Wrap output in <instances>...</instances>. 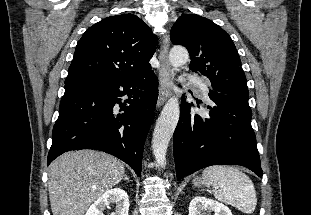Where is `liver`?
<instances>
[{"mask_svg": "<svg viewBox=\"0 0 311 215\" xmlns=\"http://www.w3.org/2000/svg\"><path fill=\"white\" fill-rule=\"evenodd\" d=\"M48 191L53 215H84L88 207L125 176L123 163L94 150L59 156L49 166Z\"/></svg>", "mask_w": 311, "mask_h": 215, "instance_id": "6515ba94", "label": "liver"}]
</instances>
